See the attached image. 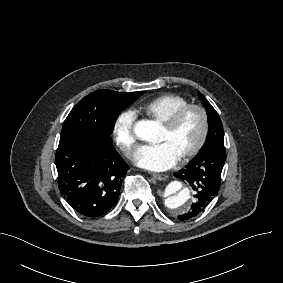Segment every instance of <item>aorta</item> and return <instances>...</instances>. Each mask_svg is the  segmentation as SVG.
I'll use <instances>...</instances> for the list:
<instances>
[{
	"label": "aorta",
	"instance_id": "762f6f07",
	"mask_svg": "<svg viewBox=\"0 0 283 283\" xmlns=\"http://www.w3.org/2000/svg\"><path fill=\"white\" fill-rule=\"evenodd\" d=\"M134 132L141 140L153 142L156 141L160 134V126L150 120H141L135 127ZM164 205L167 209L178 214L185 213L192 204L191 189L182 181H171L162 193Z\"/></svg>",
	"mask_w": 283,
	"mask_h": 283
}]
</instances>
